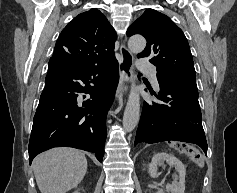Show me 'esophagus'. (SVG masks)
Listing matches in <instances>:
<instances>
[{
    "instance_id": "34e87169",
    "label": "esophagus",
    "mask_w": 237,
    "mask_h": 193,
    "mask_svg": "<svg viewBox=\"0 0 237 193\" xmlns=\"http://www.w3.org/2000/svg\"><path fill=\"white\" fill-rule=\"evenodd\" d=\"M121 61L119 63L120 82L116 91V98L126 93L133 74V54L123 43L120 47Z\"/></svg>"
}]
</instances>
